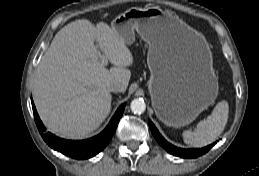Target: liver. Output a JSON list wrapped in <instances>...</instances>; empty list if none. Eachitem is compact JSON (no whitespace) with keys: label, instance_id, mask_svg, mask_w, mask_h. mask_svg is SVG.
<instances>
[{"label":"liver","instance_id":"liver-1","mask_svg":"<svg viewBox=\"0 0 259 176\" xmlns=\"http://www.w3.org/2000/svg\"><path fill=\"white\" fill-rule=\"evenodd\" d=\"M102 55L114 67L103 66ZM132 63L124 40L108 24L80 19L63 27L44 53L33 83L34 102L48 130L73 139L96 130L111 109L109 85L116 83L125 92Z\"/></svg>","mask_w":259,"mask_h":176}]
</instances>
